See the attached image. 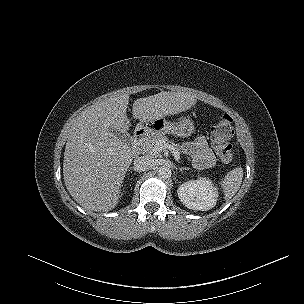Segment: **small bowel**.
<instances>
[{
	"instance_id": "1",
	"label": "small bowel",
	"mask_w": 304,
	"mask_h": 304,
	"mask_svg": "<svg viewBox=\"0 0 304 304\" xmlns=\"http://www.w3.org/2000/svg\"><path fill=\"white\" fill-rule=\"evenodd\" d=\"M184 148L191 156L195 167H209L214 163V156L203 137H199L193 142L186 143Z\"/></svg>"
}]
</instances>
